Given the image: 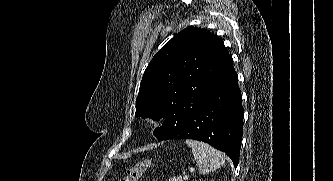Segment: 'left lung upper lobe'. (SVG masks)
Wrapping results in <instances>:
<instances>
[{
  "label": "left lung upper lobe",
  "mask_w": 333,
  "mask_h": 181,
  "mask_svg": "<svg viewBox=\"0 0 333 181\" xmlns=\"http://www.w3.org/2000/svg\"><path fill=\"white\" fill-rule=\"evenodd\" d=\"M233 66L217 36L187 27L176 34L147 66L136 99V117H163L155 131L169 134L168 121L197 110L211 87Z\"/></svg>",
  "instance_id": "1"
}]
</instances>
